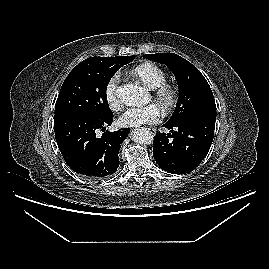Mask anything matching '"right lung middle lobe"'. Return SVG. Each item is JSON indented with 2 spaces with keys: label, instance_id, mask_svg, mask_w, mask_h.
I'll list each match as a JSON object with an SVG mask.
<instances>
[{
  "label": "right lung middle lobe",
  "instance_id": "1",
  "mask_svg": "<svg viewBox=\"0 0 269 269\" xmlns=\"http://www.w3.org/2000/svg\"><path fill=\"white\" fill-rule=\"evenodd\" d=\"M135 56L84 60L66 77L58 95L55 114L82 112L105 118L112 115L106 96L112 76Z\"/></svg>",
  "mask_w": 269,
  "mask_h": 269
}]
</instances>
